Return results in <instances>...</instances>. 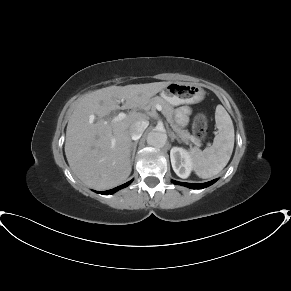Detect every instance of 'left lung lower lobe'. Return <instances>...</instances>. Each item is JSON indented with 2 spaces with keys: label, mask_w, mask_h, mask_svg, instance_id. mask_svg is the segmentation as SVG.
I'll return each mask as SVG.
<instances>
[{
  "label": "left lung lower lobe",
  "mask_w": 291,
  "mask_h": 291,
  "mask_svg": "<svg viewBox=\"0 0 291 291\" xmlns=\"http://www.w3.org/2000/svg\"><path fill=\"white\" fill-rule=\"evenodd\" d=\"M216 180H212L206 183H201V184H196V183H184V182H178V181H173L174 184H179V185H183L189 188H193V189H202L205 187L210 186L211 184H213Z\"/></svg>",
  "instance_id": "obj_1"
}]
</instances>
